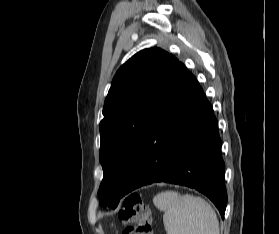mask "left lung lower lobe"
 Masks as SVG:
<instances>
[{
    "label": "left lung lower lobe",
    "instance_id": "1",
    "mask_svg": "<svg viewBox=\"0 0 279 234\" xmlns=\"http://www.w3.org/2000/svg\"><path fill=\"white\" fill-rule=\"evenodd\" d=\"M225 164L213 108L180 63L146 131L121 196L155 182L205 194L222 218L227 204Z\"/></svg>",
    "mask_w": 279,
    "mask_h": 234
}]
</instances>
